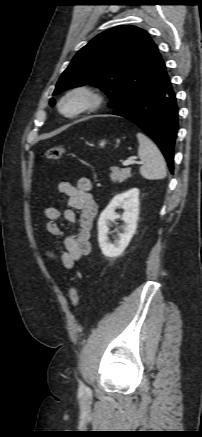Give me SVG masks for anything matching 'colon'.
<instances>
[{"label": "colon", "mask_w": 202, "mask_h": 437, "mask_svg": "<svg viewBox=\"0 0 202 437\" xmlns=\"http://www.w3.org/2000/svg\"><path fill=\"white\" fill-rule=\"evenodd\" d=\"M65 153V149L62 146H53L46 150H44L41 153V157L44 160H58L60 159ZM69 300L72 306H77L80 301V294L79 290L76 287H72L69 291Z\"/></svg>", "instance_id": "5ec220e1"}]
</instances>
